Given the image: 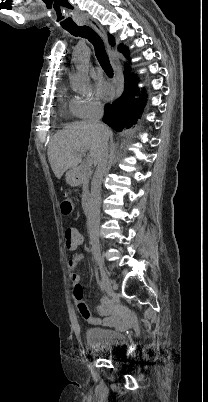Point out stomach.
<instances>
[{"instance_id": "obj_1", "label": "stomach", "mask_w": 208, "mask_h": 402, "mask_svg": "<svg viewBox=\"0 0 208 402\" xmlns=\"http://www.w3.org/2000/svg\"><path fill=\"white\" fill-rule=\"evenodd\" d=\"M65 180L69 186H72V188L81 184V178L78 176L76 170H68L65 174Z\"/></svg>"}]
</instances>
